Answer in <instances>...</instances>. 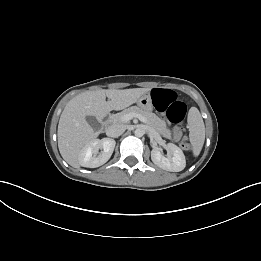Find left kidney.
Listing matches in <instances>:
<instances>
[{
  "mask_svg": "<svg viewBox=\"0 0 261 261\" xmlns=\"http://www.w3.org/2000/svg\"><path fill=\"white\" fill-rule=\"evenodd\" d=\"M168 148L171 151V155L164 156L160 149H153L151 151V160L158 167L171 171H182L186 166V160L183 151L175 144L169 143Z\"/></svg>",
  "mask_w": 261,
  "mask_h": 261,
  "instance_id": "5707ae66",
  "label": "left kidney"
}]
</instances>
